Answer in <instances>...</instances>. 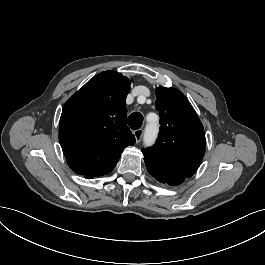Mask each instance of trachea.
Segmentation results:
<instances>
[{
    "label": "trachea",
    "instance_id": "obj_1",
    "mask_svg": "<svg viewBox=\"0 0 265 265\" xmlns=\"http://www.w3.org/2000/svg\"><path fill=\"white\" fill-rule=\"evenodd\" d=\"M143 123V116L139 112H134L128 117V125L131 129L137 130Z\"/></svg>",
    "mask_w": 265,
    "mask_h": 265
}]
</instances>
